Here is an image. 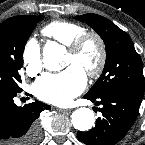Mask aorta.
I'll return each instance as SVG.
<instances>
[{"mask_svg":"<svg viewBox=\"0 0 145 145\" xmlns=\"http://www.w3.org/2000/svg\"><path fill=\"white\" fill-rule=\"evenodd\" d=\"M66 49L64 46L50 41L43 48V64L49 71H60L63 68L62 60ZM71 122L75 129L79 131L90 130L95 123V116L89 108L81 107L71 115Z\"/></svg>","mask_w":145,"mask_h":145,"instance_id":"762f6f07","label":"aorta"}]
</instances>
